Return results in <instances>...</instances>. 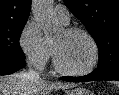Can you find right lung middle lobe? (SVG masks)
I'll use <instances>...</instances> for the list:
<instances>
[{
	"label": "right lung middle lobe",
	"instance_id": "obj_1",
	"mask_svg": "<svg viewBox=\"0 0 119 95\" xmlns=\"http://www.w3.org/2000/svg\"><path fill=\"white\" fill-rule=\"evenodd\" d=\"M26 21L0 26V59L25 60L19 38Z\"/></svg>",
	"mask_w": 119,
	"mask_h": 95
}]
</instances>
